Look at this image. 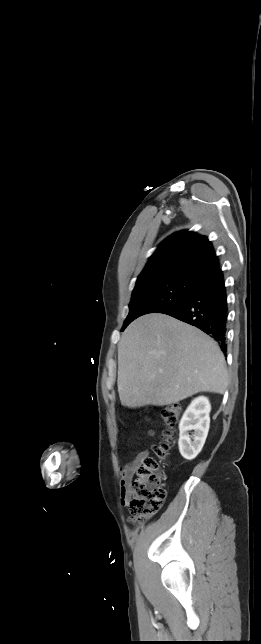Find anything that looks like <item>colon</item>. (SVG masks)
<instances>
[{
    "label": "colon",
    "mask_w": 261,
    "mask_h": 644,
    "mask_svg": "<svg viewBox=\"0 0 261 644\" xmlns=\"http://www.w3.org/2000/svg\"><path fill=\"white\" fill-rule=\"evenodd\" d=\"M181 414L179 404L167 405L162 411L165 424L163 440L155 445V456H147L137 468V478L130 485V511L137 522H144L156 514L165 500L162 470L170 449V439Z\"/></svg>",
    "instance_id": "1"
}]
</instances>
